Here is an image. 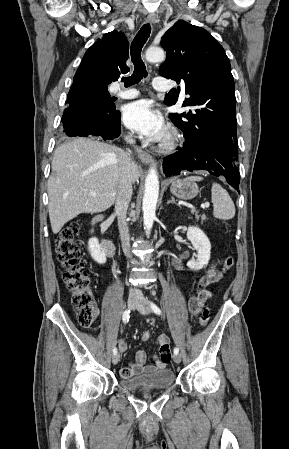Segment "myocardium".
I'll list each match as a JSON object with an SVG mask.
<instances>
[{
    "label": "myocardium",
    "mask_w": 289,
    "mask_h": 449,
    "mask_svg": "<svg viewBox=\"0 0 289 449\" xmlns=\"http://www.w3.org/2000/svg\"><path fill=\"white\" fill-rule=\"evenodd\" d=\"M180 140L181 137L179 132L174 128H170L165 133L163 140L159 145V150L162 152H171L178 146Z\"/></svg>",
    "instance_id": "f54148a6"
}]
</instances>
